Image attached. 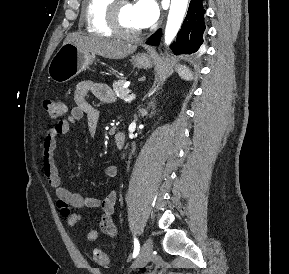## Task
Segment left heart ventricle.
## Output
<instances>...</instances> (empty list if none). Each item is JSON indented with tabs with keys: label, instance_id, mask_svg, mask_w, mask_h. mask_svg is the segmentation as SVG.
Returning a JSON list of instances; mask_svg holds the SVG:
<instances>
[{
	"label": "left heart ventricle",
	"instance_id": "1",
	"mask_svg": "<svg viewBox=\"0 0 289 274\" xmlns=\"http://www.w3.org/2000/svg\"><path fill=\"white\" fill-rule=\"evenodd\" d=\"M120 21L123 27L129 31L141 30V27L135 20L133 5L131 3H125L121 6Z\"/></svg>",
	"mask_w": 289,
	"mask_h": 274
}]
</instances>
